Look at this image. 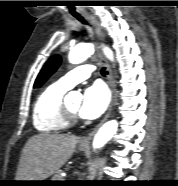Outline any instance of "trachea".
<instances>
[{
  "instance_id": "obj_1",
  "label": "trachea",
  "mask_w": 178,
  "mask_h": 186,
  "mask_svg": "<svg viewBox=\"0 0 178 186\" xmlns=\"http://www.w3.org/2000/svg\"><path fill=\"white\" fill-rule=\"evenodd\" d=\"M80 22H82V23H84V24H86V21L82 18V17H76ZM105 68L103 67L102 69H101V74L102 75H105Z\"/></svg>"
}]
</instances>
